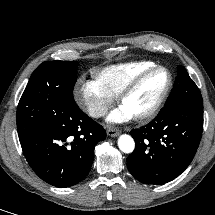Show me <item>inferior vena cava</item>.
Wrapping results in <instances>:
<instances>
[{
    "instance_id": "inferior-vena-cava-1",
    "label": "inferior vena cava",
    "mask_w": 215,
    "mask_h": 215,
    "mask_svg": "<svg viewBox=\"0 0 215 215\" xmlns=\"http://www.w3.org/2000/svg\"><path fill=\"white\" fill-rule=\"evenodd\" d=\"M106 113V111L104 109H93L91 111V115L95 118H98V117H101V116H104Z\"/></svg>"
}]
</instances>
